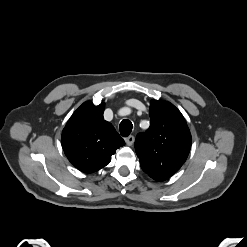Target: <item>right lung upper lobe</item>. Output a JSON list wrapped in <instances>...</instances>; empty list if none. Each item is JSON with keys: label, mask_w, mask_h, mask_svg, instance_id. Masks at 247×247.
<instances>
[{"label": "right lung upper lobe", "mask_w": 247, "mask_h": 247, "mask_svg": "<svg viewBox=\"0 0 247 247\" xmlns=\"http://www.w3.org/2000/svg\"><path fill=\"white\" fill-rule=\"evenodd\" d=\"M104 104L83 103L62 131V147L69 161L80 171L93 173L105 167L125 142L103 118Z\"/></svg>", "instance_id": "cb5924a9"}]
</instances>
